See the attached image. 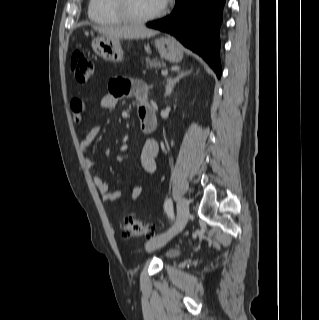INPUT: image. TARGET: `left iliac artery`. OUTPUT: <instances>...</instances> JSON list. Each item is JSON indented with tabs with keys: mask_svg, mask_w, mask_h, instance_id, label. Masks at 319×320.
Here are the masks:
<instances>
[{
	"mask_svg": "<svg viewBox=\"0 0 319 320\" xmlns=\"http://www.w3.org/2000/svg\"><path fill=\"white\" fill-rule=\"evenodd\" d=\"M164 209L166 213L168 214L171 219H174V213H173V203L171 199H167L164 204Z\"/></svg>",
	"mask_w": 319,
	"mask_h": 320,
	"instance_id": "obj_1",
	"label": "left iliac artery"
}]
</instances>
